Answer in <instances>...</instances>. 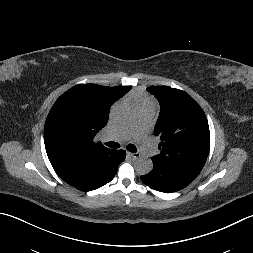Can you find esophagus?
Wrapping results in <instances>:
<instances>
[{
    "instance_id": "1",
    "label": "esophagus",
    "mask_w": 253,
    "mask_h": 253,
    "mask_svg": "<svg viewBox=\"0 0 253 253\" xmlns=\"http://www.w3.org/2000/svg\"><path fill=\"white\" fill-rule=\"evenodd\" d=\"M127 155L133 159H137L140 157V154L139 153H131V152H128Z\"/></svg>"
}]
</instances>
